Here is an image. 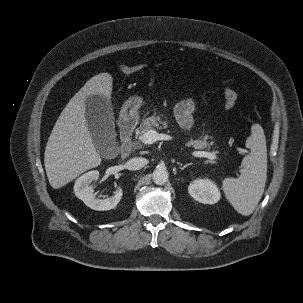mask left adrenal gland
<instances>
[{
    "label": "left adrenal gland",
    "instance_id": "left-adrenal-gland-1",
    "mask_svg": "<svg viewBox=\"0 0 303 303\" xmlns=\"http://www.w3.org/2000/svg\"><path fill=\"white\" fill-rule=\"evenodd\" d=\"M190 165H192V163H187V164H185L184 166H180V170H184L186 167H188V166H190Z\"/></svg>",
    "mask_w": 303,
    "mask_h": 303
}]
</instances>
